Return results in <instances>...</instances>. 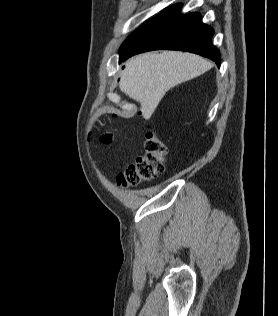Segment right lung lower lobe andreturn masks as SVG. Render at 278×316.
<instances>
[{"instance_id":"1","label":"right lung lower lobe","mask_w":278,"mask_h":316,"mask_svg":"<svg viewBox=\"0 0 278 316\" xmlns=\"http://www.w3.org/2000/svg\"><path fill=\"white\" fill-rule=\"evenodd\" d=\"M180 9V5L165 9L132 47L120 53V62L138 53L169 49L205 56L220 67V53L211 43L214 30L202 23L199 13L181 15Z\"/></svg>"}]
</instances>
